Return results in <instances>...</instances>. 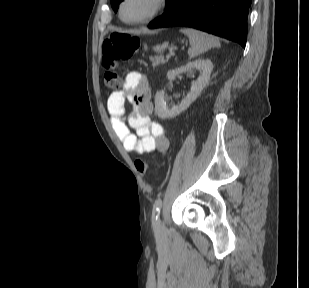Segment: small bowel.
Returning <instances> with one entry per match:
<instances>
[{"mask_svg": "<svg viewBox=\"0 0 309 288\" xmlns=\"http://www.w3.org/2000/svg\"><path fill=\"white\" fill-rule=\"evenodd\" d=\"M131 106L126 114L125 106ZM112 128L130 154L166 152L170 143L161 124L151 120L153 104L147 79L139 72H129L119 91L107 100ZM134 131V132H133Z\"/></svg>", "mask_w": 309, "mask_h": 288, "instance_id": "obj_1", "label": "small bowel"}]
</instances>
